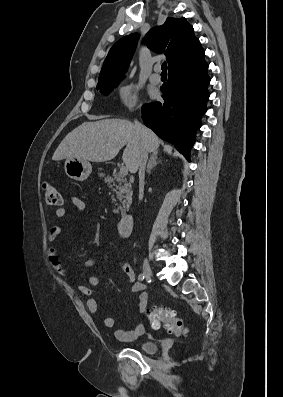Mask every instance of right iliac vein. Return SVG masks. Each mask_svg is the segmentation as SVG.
Listing matches in <instances>:
<instances>
[{"label": "right iliac vein", "mask_w": 283, "mask_h": 397, "mask_svg": "<svg viewBox=\"0 0 283 397\" xmlns=\"http://www.w3.org/2000/svg\"><path fill=\"white\" fill-rule=\"evenodd\" d=\"M143 274L147 279L152 277V270L148 260L145 258L143 263Z\"/></svg>", "instance_id": "1"}]
</instances>
